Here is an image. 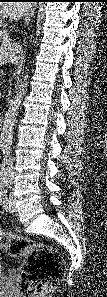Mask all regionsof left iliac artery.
Masks as SVG:
<instances>
[{"mask_svg":"<svg viewBox=\"0 0 107 297\" xmlns=\"http://www.w3.org/2000/svg\"><path fill=\"white\" fill-rule=\"evenodd\" d=\"M6 193H7V191H1L0 192V201L3 204V207L6 204V200H7Z\"/></svg>","mask_w":107,"mask_h":297,"instance_id":"1","label":"left iliac artery"}]
</instances>
